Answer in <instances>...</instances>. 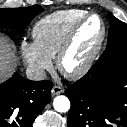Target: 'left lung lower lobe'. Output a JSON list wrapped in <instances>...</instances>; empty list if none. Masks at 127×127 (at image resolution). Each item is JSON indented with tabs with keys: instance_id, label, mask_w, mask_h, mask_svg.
I'll use <instances>...</instances> for the list:
<instances>
[{
	"instance_id": "0a47b994",
	"label": "left lung lower lobe",
	"mask_w": 127,
	"mask_h": 127,
	"mask_svg": "<svg viewBox=\"0 0 127 127\" xmlns=\"http://www.w3.org/2000/svg\"><path fill=\"white\" fill-rule=\"evenodd\" d=\"M66 95L68 127H127V42L108 47Z\"/></svg>"
}]
</instances>
